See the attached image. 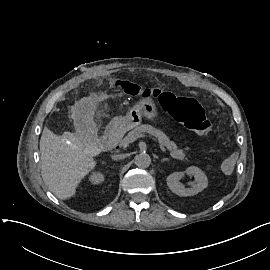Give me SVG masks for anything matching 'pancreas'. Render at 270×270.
<instances>
[{"label": "pancreas", "instance_id": "cf45deb5", "mask_svg": "<svg viewBox=\"0 0 270 270\" xmlns=\"http://www.w3.org/2000/svg\"><path fill=\"white\" fill-rule=\"evenodd\" d=\"M116 121V119H115ZM133 133L139 135L142 134L143 132H147L153 136H155L158 141L160 142L161 145L165 146L169 151L171 157L179 160H183L185 158V154L183 150L178 149L176 144L171 141L161 130L156 129L155 127L148 125V124H143L140 126H136L133 130Z\"/></svg>", "mask_w": 270, "mask_h": 270}]
</instances>
